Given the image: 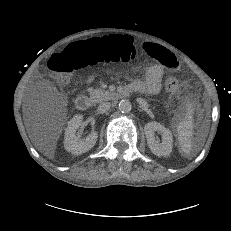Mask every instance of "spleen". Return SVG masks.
I'll return each instance as SVG.
<instances>
[{"label": "spleen", "instance_id": "obj_1", "mask_svg": "<svg viewBox=\"0 0 231 231\" xmlns=\"http://www.w3.org/2000/svg\"><path fill=\"white\" fill-rule=\"evenodd\" d=\"M193 127V105L188 103L184 119L177 124V139L180 151L185 155L190 154L192 150Z\"/></svg>", "mask_w": 231, "mask_h": 231}]
</instances>
